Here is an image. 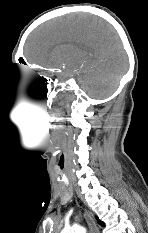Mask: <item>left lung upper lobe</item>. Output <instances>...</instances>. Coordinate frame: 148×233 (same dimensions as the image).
<instances>
[{
    "mask_svg": "<svg viewBox=\"0 0 148 233\" xmlns=\"http://www.w3.org/2000/svg\"><path fill=\"white\" fill-rule=\"evenodd\" d=\"M98 223L101 224L102 226L104 225L103 222H101L99 219H97Z\"/></svg>",
    "mask_w": 148,
    "mask_h": 233,
    "instance_id": "1",
    "label": "left lung upper lobe"
}]
</instances>
